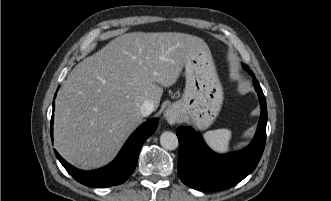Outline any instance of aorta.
<instances>
[{
  "label": "aorta",
  "instance_id": "762f6f07",
  "mask_svg": "<svg viewBox=\"0 0 331 201\" xmlns=\"http://www.w3.org/2000/svg\"><path fill=\"white\" fill-rule=\"evenodd\" d=\"M160 144L167 150H175L178 147L179 142L176 134L166 131L160 136Z\"/></svg>",
  "mask_w": 331,
  "mask_h": 201
}]
</instances>
